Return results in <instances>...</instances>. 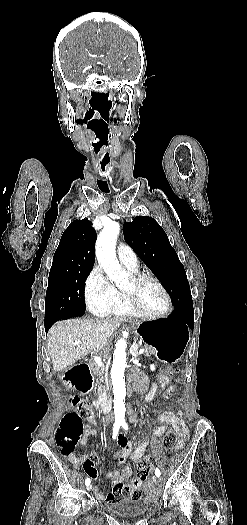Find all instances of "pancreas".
Masks as SVG:
<instances>
[{"label":"pancreas","instance_id":"obj_1","mask_svg":"<svg viewBox=\"0 0 247 525\" xmlns=\"http://www.w3.org/2000/svg\"><path fill=\"white\" fill-rule=\"evenodd\" d=\"M152 352H156V347L147 346L145 348V354L151 355ZM144 359H147V356H144ZM88 365L93 373V375H103L104 367H98V363H94V359H88Z\"/></svg>","mask_w":247,"mask_h":525}]
</instances>
